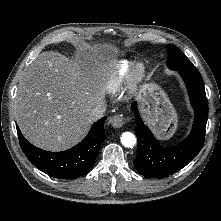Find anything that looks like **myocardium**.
Segmentation results:
<instances>
[{
    "mask_svg": "<svg viewBox=\"0 0 221 221\" xmlns=\"http://www.w3.org/2000/svg\"><path fill=\"white\" fill-rule=\"evenodd\" d=\"M146 76V66L142 62L135 63L129 72V85L132 90H135Z\"/></svg>",
    "mask_w": 221,
    "mask_h": 221,
    "instance_id": "obj_1",
    "label": "myocardium"
}]
</instances>
